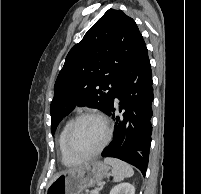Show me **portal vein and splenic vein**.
Masks as SVG:
<instances>
[{"label": "portal vein and splenic vein", "mask_w": 201, "mask_h": 194, "mask_svg": "<svg viewBox=\"0 0 201 194\" xmlns=\"http://www.w3.org/2000/svg\"><path fill=\"white\" fill-rule=\"evenodd\" d=\"M92 194H99V189H94V190H92Z\"/></svg>", "instance_id": "portal-vein-and-splenic-vein-1"}]
</instances>
